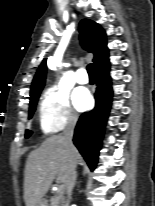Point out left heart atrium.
Instances as JSON below:
<instances>
[{
  "mask_svg": "<svg viewBox=\"0 0 155 206\" xmlns=\"http://www.w3.org/2000/svg\"><path fill=\"white\" fill-rule=\"evenodd\" d=\"M92 102L91 96L86 89L78 88L73 93V103L75 107L80 110H86L90 107Z\"/></svg>",
  "mask_w": 155,
  "mask_h": 206,
  "instance_id": "obj_1",
  "label": "left heart atrium"
}]
</instances>
